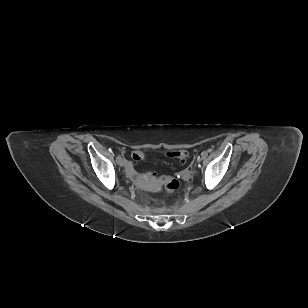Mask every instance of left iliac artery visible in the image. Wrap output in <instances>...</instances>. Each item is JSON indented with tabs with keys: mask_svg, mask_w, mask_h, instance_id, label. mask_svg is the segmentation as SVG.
<instances>
[{
	"mask_svg": "<svg viewBox=\"0 0 308 308\" xmlns=\"http://www.w3.org/2000/svg\"><path fill=\"white\" fill-rule=\"evenodd\" d=\"M203 157H206L208 155V153L206 151H203L201 154Z\"/></svg>",
	"mask_w": 308,
	"mask_h": 308,
	"instance_id": "obj_1",
	"label": "left iliac artery"
}]
</instances>
